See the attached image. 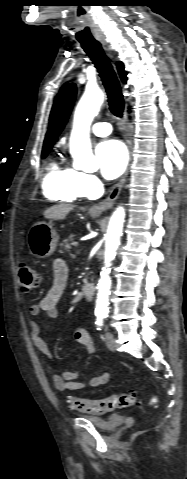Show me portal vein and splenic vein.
<instances>
[{
	"label": "portal vein and splenic vein",
	"mask_w": 187,
	"mask_h": 479,
	"mask_svg": "<svg viewBox=\"0 0 187 479\" xmlns=\"http://www.w3.org/2000/svg\"><path fill=\"white\" fill-rule=\"evenodd\" d=\"M75 246H78V243H74Z\"/></svg>",
	"instance_id": "obj_1"
}]
</instances>
